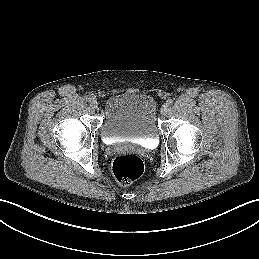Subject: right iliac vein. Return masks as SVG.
Returning a JSON list of instances; mask_svg holds the SVG:
<instances>
[{
	"instance_id": "1",
	"label": "right iliac vein",
	"mask_w": 259,
	"mask_h": 259,
	"mask_svg": "<svg viewBox=\"0 0 259 259\" xmlns=\"http://www.w3.org/2000/svg\"><path fill=\"white\" fill-rule=\"evenodd\" d=\"M90 106L92 109H97L98 108V102L96 100L90 101Z\"/></svg>"
}]
</instances>
